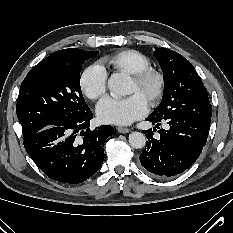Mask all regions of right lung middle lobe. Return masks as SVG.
I'll use <instances>...</instances> for the list:
<instances>
[{
    "mask_svg": "<svg viewBox=\"0 0 233 233\" xmlns=\"http://www.w3.org/2000/svg\"><path fill=\"white\" fill-rule=\"evenodd\" d=\"M98 51L63 49L34 66L23 80L16 113L23 138L46 126L76 120L90 111L80 87V72L85 60Z\"/></svg>",
    "mask_w": 233,
    "mask_h": 233,
    "instance_id": "1",
    "label": "right lung middle lobe"
}]
</instances>
